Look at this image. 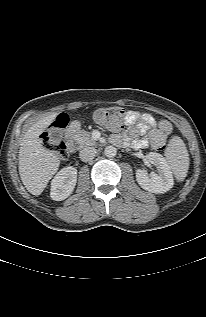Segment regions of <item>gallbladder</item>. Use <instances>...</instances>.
I'll list each match as a JSON object with an SVG mask.
<instances>
[{
  "instance_id": "obj_1",
  "label": "gallbladder",
  "mask_w": 206,
  "mask_h": 317,
  "mask_svg": "<svg viewBox=\"0 0 206 317\" xmlns=\"http://www.w3.org/2000/svg\"><path fill=\"white\" fill-rule=\"evenodd\" d=\"M50 143L57 144L62 139V131L57 128H52L49 131Z\"/></svg>"
}]
</instances>
